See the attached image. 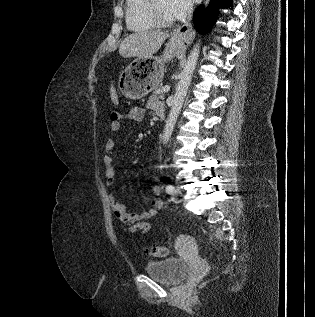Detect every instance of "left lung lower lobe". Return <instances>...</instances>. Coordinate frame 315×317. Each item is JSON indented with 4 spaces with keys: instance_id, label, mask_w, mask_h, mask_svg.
Listing matches in <instances>:
<instances>
[{
    "instance_id": "0a47b994",
    "label": "left lung lower lobe",
    "mask_w": 315,
    "mask_h": 317,
    "mask_svg": "<svg viewBox=\"0 0 315 317\" xmlns=\"http://www.w3.org/2000/svg\"><path fill=\"white\" fill-rule=\"evenodd\" d=\"M232 4V0H211L207 9L202 5L199 6L194 14V25L200 32L208 31L215 23L218 16L219 8H228Z\"/></svg>"
}]
</instances>
